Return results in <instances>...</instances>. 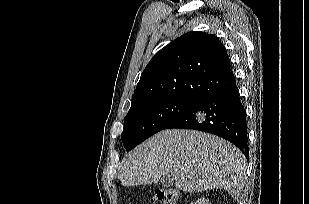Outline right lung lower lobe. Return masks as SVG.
Instances as JSON below:
<instances>
[{
	"instance_id": "right-lung-lower-lobe-1",
	"label": "right lung lower lobe",
	"mask_w": 309,
	"mask_h": 204,
	"mask_svg": "<svg viewBox=\"0 0 309 204\" xmlns=\"http://www.w3.org/2000/svg\"><path fill=\"white\" fill-rule=\"evenodd\" d=\"M194 129L220 136L248 158L247 121L235 82L198 100L164 129Z\"/></svg>"
}]
</instances>
